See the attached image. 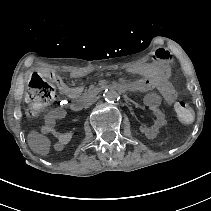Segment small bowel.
<instances>
[{
	"label": "small bowel",
	"mask_w": 211,
	"mask_h": 211,
	"mask_svg": "<svg viewBox=\"0 0 211 211\" xmlns=\"http://www.w3.org/2000/svg\"><path fill=\"white\" fill-rule=\"evenodd\" d=\"M57 87L59 93L70 99H74L80 92L79 87L69 86L61 77L52 73L46 75ZM138 83L137 91H149L155 89L157 93H149L144 97V103L149 107L154 115V121L152 124H143L141 131L149 139H154L158 136L161 129L167 124V120L163 111L160 108L161 102L172 104L177 98V93L174 87L168 82V80L160 74H154L153 71L148 72V75L144 78L136 80ZM41 131L46 134H52L57 142L58 148L63 147L69 141L68 133L61 132L56 127V118L54 115L49 114L46 117L45 123L41 128Z\"/></svg>",
	"instance_id": "small-bowel-1"
}]
</instances>
